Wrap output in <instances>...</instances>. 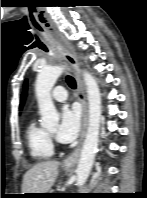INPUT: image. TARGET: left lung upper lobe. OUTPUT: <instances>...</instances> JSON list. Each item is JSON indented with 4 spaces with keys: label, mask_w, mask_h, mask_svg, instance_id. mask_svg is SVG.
<instances>
[{
    "label": "left lung upper lobe",
    "mask_w": 147,
    "mask_h": 198,
    "mask_svg": "<svg viewBox=\"0 0 147 198\" xmlns=\"http://www.w3.org/2000/svg\"><path fill=\"white\" fill-rule=\"evenodd\" d=\"M26 89H27V81L24 84V90L26 91Z\"/></svg>",
    "instance_id": "1"
}]
</instances>
